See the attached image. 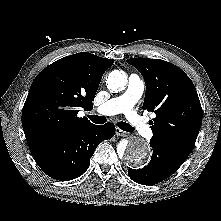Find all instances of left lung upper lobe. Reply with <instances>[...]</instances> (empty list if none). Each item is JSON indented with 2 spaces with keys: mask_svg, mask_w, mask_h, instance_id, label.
<instances>
[{
  "mask_svg": "<svg viewBox=\"0 0 221 221\" xmlns=\"http://www.w3.org/2000/svg\"><path fill=\"white\" fill-rule=\"evenodd\" d=\"M127 63L146 83L143 109L153 111V137L190 154L202 124V108L194 84L177 66L159 59L133 58Z\"/></svg>",
  "mask_w": 221,
  "mask_h": 221,
  "instance_id": "1",
  "label": "left lung upper lobe"
}]
</instances>
